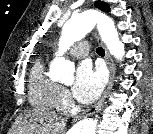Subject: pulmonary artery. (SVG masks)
<instances>
[{
    "label": "pulmonary artery",
    "instance_id": "1",
    "mask_svg": "<svg viewBox=\"0 0 153 134\" xmlns=\"http://www.w3.org/2000/svg\"><path fill=\"white\" fill-rule=\"evenodd\" d=\"M89 53V44L87 42H80L71 48L70 54L76 58H84Z\"/></svg>",
    "mask_w": 153,
    "mask_h": 134
}]
</instances>
